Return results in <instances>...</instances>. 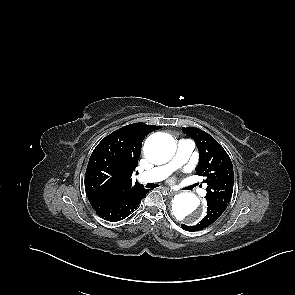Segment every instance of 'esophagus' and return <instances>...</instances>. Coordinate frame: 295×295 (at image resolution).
<instances>
[{
    "label": "esophagus",
    "mask_w": 295,
    "mask_h": 295,
    "mask_svg": "<svg viewBox=\"0 0 295 295\" xmlns=\"http://www.w3.org/2000/svg\"><path fill=\"white\" fill-rule=\"evenodd\" d=\"M164 191H165L166 194L169 195V196H173V195H175V194L177 193V192L172 191V190H169V189H164Z\"/></svg>",
    "instance_id": "esophagus-1"
}]
</instances>
